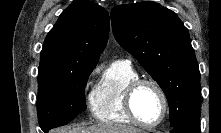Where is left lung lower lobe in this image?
I'll return each instance as SVG.
<instances>
[{
  "instance_id": "1",
  "label": "left lung lower lobe",
  "mask_w": 221,
  "mask_h": 133,
  "mask_svg": "<svg viewBox=\"0 0 221 133\" xmlns=\"http://www.w3.org/2000/svg\"><path fill=\"white\" fill-rule=\"evenodd\" d=\"M171 133H200L199 121L185 123L171 130Z\"/></svg>"
}]
</instances>
